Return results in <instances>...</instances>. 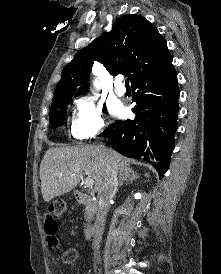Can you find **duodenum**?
Wrapping results in <instances>:
<instances>
[{"mask_svg":"<svg viewBox=\"0 0 221 274\" xmlns=\"http://www.w3.org/2000/svg\"><path fill=\"white\" fill-rule=\"evenodd\" d=\"M75 196L77 201L87 208V218L89 221H91L96 215L98 210L97 201L89 194H86L81 191H77ZM92 231H93V227L91 224H89L85 231L86 237H90V235L92 234Z\"/></svg>","mask_w":221,"mask_h":274,"instance_id":"410a0bca","label":"duodenum"}]
</instances>
